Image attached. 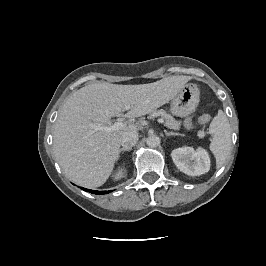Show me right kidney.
Here are the masks:
<instances>
[{"mask_svg":"<svg viewBox=\"0 0 266 266\" xmlns=\"http://www.w3.org/2000/svg\"><path fill=\"white\" fill-rule=\"evenodd\" d=\"M123 174H124V169H119L118 172L115 174L114 179L115 180L120 179L121 177H123Z\"/></svg>","mask_w":266,"mask_h":266,"instance_id":"obj_1","label":"right kidney"}]
</instances>
